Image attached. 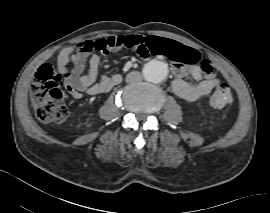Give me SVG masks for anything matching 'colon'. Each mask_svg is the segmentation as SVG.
<instances>
[{
    "mask_svg": "<svg viewBox=\"0 0 270 213\" xmlns=\"http://www.w3.org/2000/svg\"><path fill=\"white\" fill-rule=\"evenodd\" d=\"M149 45H156L157 39L149 40ZM127 47L135 53L146 47L145 41L135 35L127 36ZM164 49V46H160ZM209 61L202 64L203 72L206 75L212 73L213 67ZM71 71L66 68L62 75L56 73L48 64H42L35 73L31 86V99L35 106L37 117L47 123H60L69 115L68 106L64 100V94L59 86L61 77H68ZM232 101V92L227 83L218 85L211 97V105L214 108L227 106Z\"/></svg>",
    "mask_w": 270,
    "mask_h": 213,
    "instance_id": "5ec220e1",
    "label": "colon"
}]
</instances>
